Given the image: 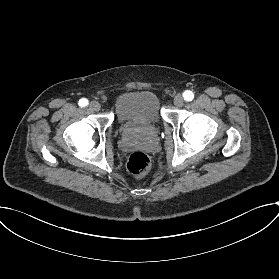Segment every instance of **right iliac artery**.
I'll list each match as a JSON object with an SVG mask.
<instances>
[{"mask_svg": "<svg viewBox=\"0 0 279 279\" xmlns=\"http://www.w3.org/2000/svg\"><path fill=\"white\" fill-rule=\"evenodd\" d=\"M78 104H79L80 107H85V106L88 105V100L86 98H82V99L79 100Z\"/></svg>", "mask_w": 279, "mask_h": 279, "instance_id": "obj_1", "label": "right iliac artery"}]
</instances>
